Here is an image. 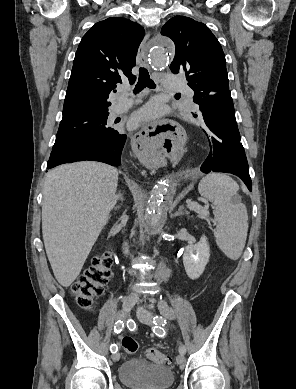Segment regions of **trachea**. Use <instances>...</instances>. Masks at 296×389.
Listing matches in <instances>:
<instances>
[{
	"label": "trachea",
	"mask_w": 296,
	"mask_h": 389,
	"mask_svg": "<svg viewBox=\"0 0 296 389\" xmlns=\"http://www.w3.org/2000/svg\"><path fill=\"white\" fill-rule=\"evenodd\" d=\"M146 87L154 89L156 88V84L150 78L148 70L146 68H140L138 82L133 92L134 94L139 93Z\"/></svg>",
	"instance_id": "trachea-1"
}]
</instances>
